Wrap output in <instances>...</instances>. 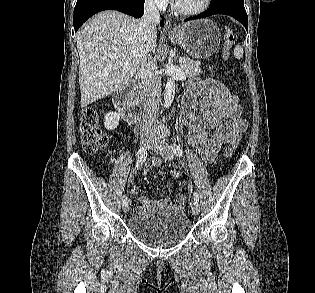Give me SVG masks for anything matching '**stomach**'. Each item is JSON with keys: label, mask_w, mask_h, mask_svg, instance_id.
I'll return each instance as SVG.
<instances>
[{"label": "stomach", "mask_w": 315, "mask_h": 293, "mask_svg": "<svg viewBox=\"0 0 315 293\" xmlns=\"http://www.w3.org/2000/svg\"><path fill=\"white\" fill-rule=\"evenodd\" d=\"M168 38L190 56L206 59L219 48L221 33L213 21L203 19L178 26Z\"/></svg>", "instance_id": "0dacf381"}]
</instances>
